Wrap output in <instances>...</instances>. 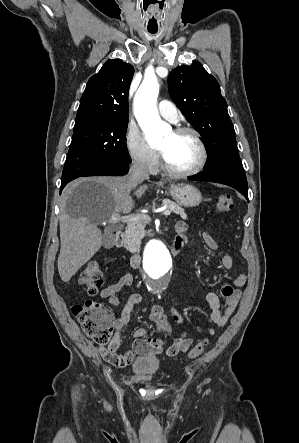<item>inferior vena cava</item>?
I'll return each instance as SVG.
<instances>
[{"label": "inferior vena cava", "mask_w": 299, "mask_h": 443, "mask_svg": "<svg viewBox=\"0 0 299 443\" xmlns=\"http://www.w3.org/2000/svg\"><path fill=\"white\" fill-rule=\"evenodd\" d=\"M128 179L129 190L135 188L143 180L149 179L147 165L142 161H135L130 168Z\"/></svg>", "instance_id": "602c4592"}]
</instances>
